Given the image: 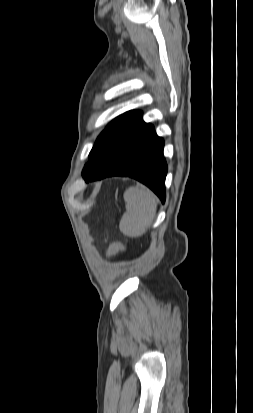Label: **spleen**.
Wrapping results in <instances>:
<instances>
[{"label":"spleen","instance_id":"obj_1","mask_svg":"<svg viewBox=\"0 0 253 413\" xmlns=\"http://www.w3.org/2000/svg\"><path fill=\"white\" fill-rule=\"evenodd\" d=\"M123 197L126 212L119 224L120 231L128 237L142 236L155 218L158 199L144 186L129 187Z\"/></svg>","mask_w":253,"mask_h":413}]
</instances>
